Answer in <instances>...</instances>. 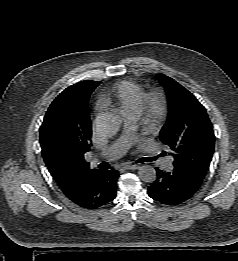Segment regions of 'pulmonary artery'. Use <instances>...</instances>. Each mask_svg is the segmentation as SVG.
<instances>
[{"label": "pulmonary artery", "instance_id": "e3ab8cb5", "mask_svg": "<svg viewBox=\"0 0 238 261\" xmlns=\"http://www.w3.org/2000/svg\"><path fill=\"white\" fill-rule=\"evenodd\" d=\"M136 118L137 117L134 116L127 118L123 135L116 142L102 150L95 158V162L100 159L115 160L127 152L133 140L134 123ZM161 164L167 170H171L173 168L172 158L163 159Z\"/></svg>", "mask_w": 238, "mask_h": 261}]
</instances>
